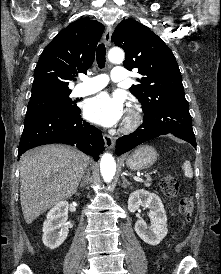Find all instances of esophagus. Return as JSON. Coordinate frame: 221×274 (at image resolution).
Returning a JSON list of instances; mask_svg holds the SVG:
<instances>
[{"mask_svg":"<svg viewBox=\"0 0 221 274\" xmlns=\"http://www.w3.org/2000/svg\"><path fill=\"white\" fill-rule=\"evenodd\" d=\"M111 36H112V28L110 26H108V27H106L104 35H103V41H104L106 46L110 45ZM103 139H104L106 148L112 149L114 147L115 140L112 136H110L107 133H104L103 134Z\"/></svg>","mask_w":221,"mask_h":274,"instance_id":"obj_1","label":"esophagus"}]
</instances>
